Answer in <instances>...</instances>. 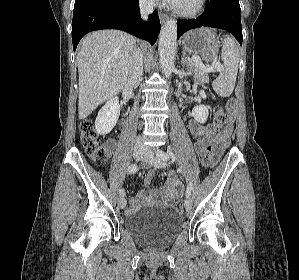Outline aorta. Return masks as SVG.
Listing matches in <instances>:
<instances>
[{"instance_id": "1", "label": "aorta", "mask_w": 299, "mask_h": 280, "mask_svg": "<svg viewBox=\"0 0 299 280\" xmlns=\"http://www.w3.org/2000/svg\"><path fill=\"white\" fill-rule=\"evenodd\" d=\"M177 23L174 19L165 22L159 36V59L162 73L165 77H171L174 69V60L176 53Z\"/></svg>"}]
</instances>
